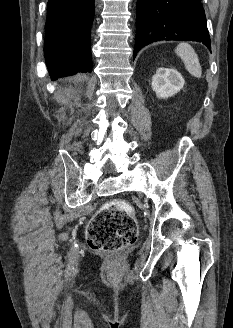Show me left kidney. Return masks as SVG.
Instances as JSON below:
<instances>
[{"label":"left kidney","instance_id":"1","mask_svg":"<svg viewBox=\"0 0 233 328\" xmlns=\"http://www.w3.org/2000/svg\"><path fill=\"white\" fill-rule=\"evenodd\" d=\"M182 75L174 68L160 67L152 76V89L161 99L171 97L178 93L184 86Z\"/></svg>","mask_w":233,"mask_h":328}]
</instances>
